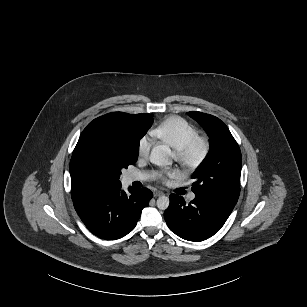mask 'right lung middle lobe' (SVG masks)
<instances>
[{"instance_id": "1", "label": "right lung middle lobe", "mask_w": 307, "mask_h": 307, "mask_svg": "<svg viewBox=\"0 0 307 307\" xmlns=\"http://www.w3.org/2000/svg\"><path fill=\"white\" fill-rule=\"evenodd\" d=\"M93 121L90 132L75 149L98 175L119 183L121 169L137 161L139 143H126L112 128V118L101 116Z\"/></svg>"}]
</instances>
